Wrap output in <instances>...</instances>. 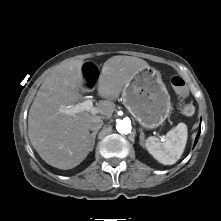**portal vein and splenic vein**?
<instances>
[{"instance_id":"18ae733b","label":"portal vein and splenic vein","mask_w":221,"mask_h":221,"mask_svg":"<svg viewBox=\"0 0 221 221\" xmlns=\"http://www.w3.org/2000/svg\"><path fill=\"white\" fill-rule=\"evenodd\" d=\"M81 111H88L92 114H97V109L93 106V101L91 99H87L76 105L69 106L65 110H63V112L69 115H73Z\"/></svg>"}]
</instances>
